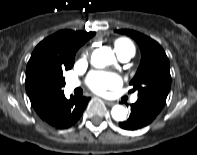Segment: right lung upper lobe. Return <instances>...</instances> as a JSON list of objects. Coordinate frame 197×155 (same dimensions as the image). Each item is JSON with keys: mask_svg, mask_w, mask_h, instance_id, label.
Wrapping results in <instances>:
<instances>
[{"mask_svg": "<svg viewBox=\"0 0 197 155\" xmlns=\"http://www.w3.org/2000/svg\"><path fill=\"white\" fill-rule=\"evenodd\" d=\"M94 32L61 30L41 41L34 49L26 67V91L37 114L44 119L62 100L60 84H46L44 75H54L59 68L74 60L76 51Z\"/></svg>", "mask_w": 197, "mask_h": 155, "instance_id": "obj_1", "label": "right lung upper lobe"}]
</instances>
